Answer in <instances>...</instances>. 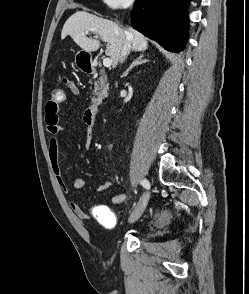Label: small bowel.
<instances>
[{"label":"small bowel","mask_w":249,"mask_h":294,"mask_svg":"<svg viewBox=\"0 0 249 294\" xmlns=\"http://www.w3.org/2000/svg\"><path fill=\"white\" fill-rule=\"evenodd\" d=\"M63 82L73 95L79 94V88L73 80L64 77ZM59 111V105L54 106L49 102L47 103L45 113V127L48 133L51 135L48 145V156L57 185L63 192L68 193L70 191V187L66 182L60 167L59 134L62 131V126L60 125L59 121ZM83 123L85 125V147L88 151H90L92 149L93 128L95 123L94 120L89 118L86 111L83 114ZM72 184L76 190H85L87 188L86 182L80 177L74 178ZM110 187L111 183L106 181L101 183L97 187L96 191L104 192ZM126 198V193L120 192L115 194L108 203L92 204L87 209L81 207L79 204L73 201H71L69 205L74 215L80 220L95 219L104 228L112 229L117 224V216L109 206L122 205L125 203Z\"/></svg>","instance_id":"small-bowel-1"}]
</instances>
